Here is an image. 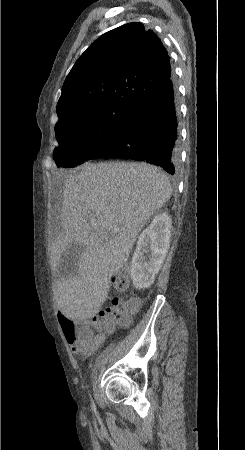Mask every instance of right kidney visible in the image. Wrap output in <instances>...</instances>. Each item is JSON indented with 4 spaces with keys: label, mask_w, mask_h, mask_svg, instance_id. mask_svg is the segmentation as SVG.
Masks as SVG:
<instances>
[{
    "label": "right kidney",
    "mask_w": 245,
    "mask_h": 450,
    "mask_svg": "<svg viewBox=\"0 0 245 450\" xmlns=\"http://www.w3.org/2000/svg\"><path fill=\"white\" fill-rule=\"evenodd\" d=\"M170 229V216L160 213L138 237L131 263V279L136 289L153 284L170 246Z\"/></svg>",
    "instance_id": "1"
}]
</instances>
